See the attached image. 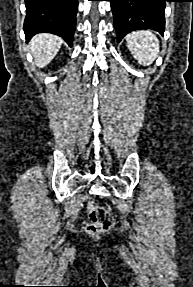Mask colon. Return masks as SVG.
Returning a JSON list of instances; mask_svg holds the SVG:
<instances>
[{
    "instance_id": "5ec220e1",
    "label": "colon",
    "mask_w": 193,
    "mask_h": 287,
    "mask_svg": "<svg viewBox=\"0 0 193 287\" xmlns=\"http://www.w3.org/2000/svg\"><path fill=\"white\" fill-rule=\"evenodd\" d=\"M89 222L86 225L87 232L100 234L109 229L113 222V216L105 207L89 202L88 206Z\"/></svg>"
}]
</instances>
